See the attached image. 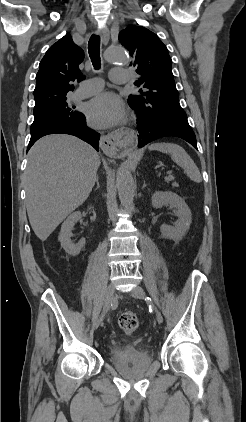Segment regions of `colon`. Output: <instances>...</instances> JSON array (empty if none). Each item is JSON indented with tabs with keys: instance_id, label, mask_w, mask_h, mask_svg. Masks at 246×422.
I'll return each mask as SVG.
<instances>
[{
	"instance_id": "colon-1",
	"label": "colon",
	"mask_w": 246,
	"mask_h": 422,
	"mask_svg": "<svg viewBox=\"0 0 246 422\" xmlns=\"http://www.w3.org/2000/svg\"><path fill=\"white\" fill-rule=\"evenodd\" d=\"M118 323L125 333H133L138 327V318L132 312H125L119 317Z\"/></svg>"
}]
</instances>
